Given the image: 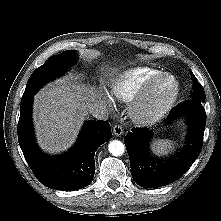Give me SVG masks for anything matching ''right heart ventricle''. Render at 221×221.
I'll return each instance as SVG.
<instances>
[{
  "label": "right heart ventricle",
  "mask_w": 221,
  "mask_h": 221,
  "mask_svg": "<svg viewBox=\"0 0 221 221\" xmlns=\"http://www.w3.org/2000/svg\"><path fill=\"white\" fill-rule=\"evenodd\" d=\"M160 73L162 71L146 66L127 69L112 81L110 94L115 100L130 103L141 87L149 79Z\"/></svg>",
  "instance_id": "right-heart-ventricle-1"
}]
</instances>
